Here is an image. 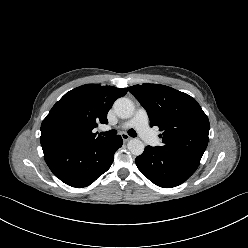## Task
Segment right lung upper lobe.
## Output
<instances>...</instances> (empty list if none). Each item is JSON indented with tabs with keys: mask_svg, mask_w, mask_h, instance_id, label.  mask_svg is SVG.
Masks as SVG:
<instances>
[{
	"mask_svg": "<svg viewBox=\"0 0 248 248\" xmlns=\"http://www.w3.org/2000/svg\"><path fill=\"white\" fill-rule=\"evenodd\" d=\"M127 89L87 84L67 92L50 110L41 125L42 149L48 146H79L102 141L92 130L107 124L113 102Z\"/></svg>",
	"mask_w": 248,
	"mask_h": 248,
	"instance_id": "cb5924a9",
	"label": "right lung upper lobe"
}]
</instances>
